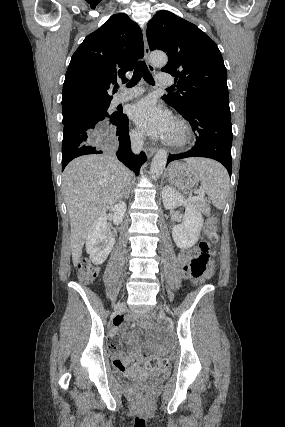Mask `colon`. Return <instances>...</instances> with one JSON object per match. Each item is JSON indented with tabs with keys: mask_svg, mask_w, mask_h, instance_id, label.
Segmentation results:
<instances>
[{
	"mask_svg": "<svg viewBox=\"0 0 285 427\" xmlns=\"http://www.w3.org/2000/svg\"><path fill=\"white\" fill-rule=\"evenodd\" d=\"M219 239L217 221L215 218H209L204 231V239L199 243L198 250L190 254L183 266V272L194 282H201L208 278L213 272V261L210 258V246L216 244ZM77 270L79 280L87 283L95 279L98 274V269L87 259L81 258L77 261ZM169 360L166 358H146L144 367L147 370L153 371L161 367L168 366ZM142 400H147L148 390L140 389Z\"/></svg>",
	"mask_w": 285,
	"mask_h": 427,
	"instance_id": "1",
	"label": "colon"
}]
</instances>
